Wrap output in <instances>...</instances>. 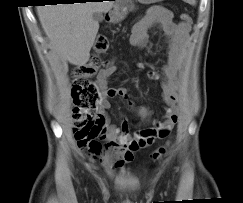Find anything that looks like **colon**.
<instances>
[{
    "instance_id": "5ec220e1",
    "label": "colon",
    "mask_w": 243,
    "mask_h": 203,
    "mask_svg": "<svg viewBox=\"0 0 243 203\" xmlns=\"http://www.w3.org/2000/svg\"><path fill=\"white\" fill-rule=\"evenodd\" d=\"M181 19L191 23V17L187 13L181 14ZM109 43L106 38H97L93 54L90 60L76 67L72 73V96H73V132L79 146L85 147L90 143V135L95 122V106L100 99L99 91L92 78L100 69L106 66V61L102 55L107 52ZM171 148V143L157 148L153 154V160H160L165 157Z\"/></svg>"
}]
</instances>
